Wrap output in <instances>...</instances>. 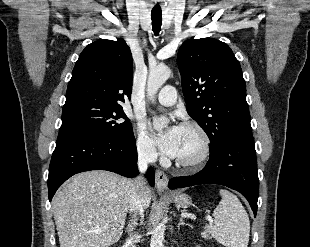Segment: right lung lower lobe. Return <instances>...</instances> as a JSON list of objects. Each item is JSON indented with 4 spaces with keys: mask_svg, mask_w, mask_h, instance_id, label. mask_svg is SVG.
I'll return each instance as SVG.
<instances>
[{
    "mask_svg": "<svg viewBox=\"0 0 310 247\" xmlns=\"http://www.w3.org/2000/svg\"><path fill=\"white\" fill-rule=\"evenodd\" d=\"M137 151L133 132L120 139L91 130H67L58 134L48 177L49 200L59 186L76 173L107 170L134 177L137 174ZM146 177L154 185L150 167Z\"/></svg>",
    "mask_w": 310,
    "mask_h": 247,
    "instance_id": "right-lung-lower-lobe-1",
    "label": "right lung lower lobe"
}]
</instances>
